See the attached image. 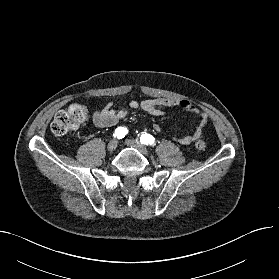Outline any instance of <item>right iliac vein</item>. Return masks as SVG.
I'll use <instances>...</instances> for the list:
<instances>
[{"label":"right iliac vein","mask_w":279,"mask_h":279,"mask_svg":"<svg viewBox=\"0 0 279 279\" xmlns=\"http://www.w3.org/2000/svg\"><path fill=\"white\" fill-rule=\"evenodd\" d=\"M117 146H118V141H117L116 139H112V140L108 143L107 149H108L109 152H113V151L116 150Z\"/></svg>","instance_id":"obj_1"}]
</instances>
